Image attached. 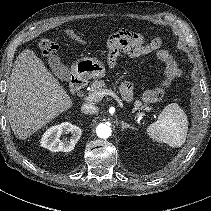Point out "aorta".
Instances as JSON below:
<instances>
[{"instance_id": "1", "label": "aorta", "mask_w": 211, "mask_h": 211, "mask_svg": "<svg viewBox=\"0 0 211 211\" xmlns=\"http://www.w3.org/2000/svg\"><path fill=\"white\" fill-rule=\"evenodd\" d=\"M96 134L98 137L106 139L111 136L112 129L109 125L101 123L96 128Z\"/></svg>"}]
</instances>
